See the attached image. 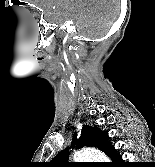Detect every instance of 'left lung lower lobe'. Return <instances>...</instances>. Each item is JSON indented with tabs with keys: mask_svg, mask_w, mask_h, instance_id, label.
Here are the masks:
<instances>
[{
	"mask_svg": "<svg viewBox=\"0 0 155 167\" xmlns=\"http://www.w3.org/2000/svg\"><path fill=\"white\" fill-rule=\"evenodd\" d=\"M109 157L112 160L110 167H121V164H123L122 157L117 154L115 149L109 154Z\"/></svg>",
	"mask_w": 155,
	"mask_h": 167,
	"instance_id": "0a47b994",
	"label": "left lung lower lobe"
}]
</instances>
